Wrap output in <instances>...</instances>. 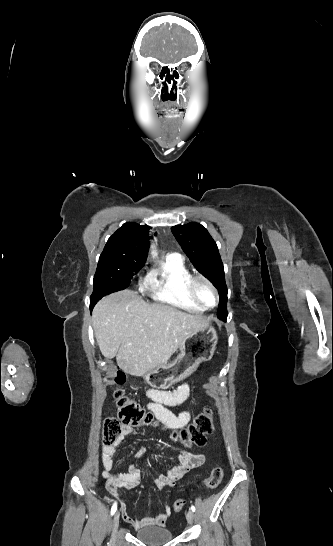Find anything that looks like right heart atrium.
Returning a JSON list of instances; mask_svg holds the SVG:
<instances>
[{"label":"right heart atrium","instance_id":"obj_1","mask_svg":"<svg viewBox=\"0 0 333 546\" xmlns=\"http://www.w3.org/2000/svg\"><path fill=\"white\" fill-rule=\"evenodd\" d=\"M139 290L142 292H147L152 287V274L151 272H147L144 276H142L139 279L138 282Z\"/></svg>","mask_w":333,"mask_h":546}]
</instances>
